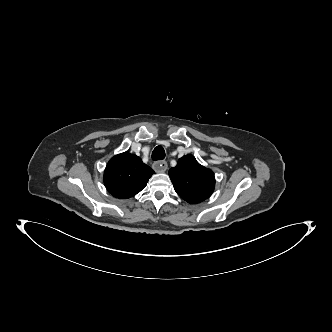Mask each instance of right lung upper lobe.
<instances>
[{"label":"right lung upper lobe","mask_w":332,"mask_h":332,"mask_svg":"<svg viewBox=\"0 0 332 332\" xmlns=\"http://www.w3.org/2000/svg\"><path fill=\"white\" fill-rule=\"evenodd\" d=\"M154 171L140 157L124 152L110 159L104 172V184L116 198L133 197L145 188Z\"/></svg>","instance_id":"cb5924a9"}]
</instances>
